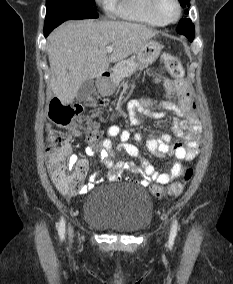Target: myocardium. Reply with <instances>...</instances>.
I'll list each match as a JSON object with an SVG mask.
<instances>
[{
  "instance_id": "myocardium-1",
  "label": "myocardium",
  "mask_w": 233,
  "mask_h": 284,
  "mask_svg": "<svg viewBox=\"0 0 233 284\" xmlns=\"http://www.w3.org/2000/svg\"><path fill=\"white\" fill-rule=\"evenodd\" d=\"M175 7H176V14L174 16V18L170 19V20H166L162 17L160 10H159V5L161 0H150V10L152 12V14L154 15V17L162 24V25H169V24H173L175 23L181 16L182 13V7L180 4L179 0H171Z\"/></svg>"
}]
</instances>
